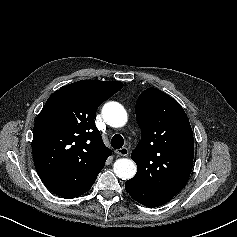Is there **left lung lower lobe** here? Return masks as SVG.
<instances>
[{
	"instance_id": "0a47b994",
	"label": "left lung lower lobe",
	"mask_w": 237,
	"mask_h": 237,
	"mask_svg": "<svg viewBox=\"0 0 237 237\" xmlns=\"http://www.w3.org/2000/svg\"><path fill=\"white\" fill-rule=\"evenodd\" d=\"M125 189H126V191H127L128 193L131 192V191H130L131 189H130V185H129V180L126 182Z\"/></svg>"
}]
</instances>
